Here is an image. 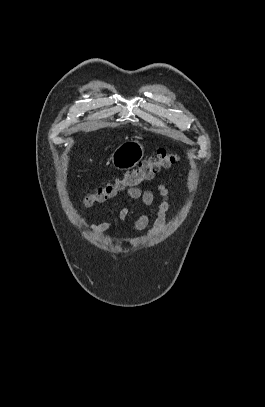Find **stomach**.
Masks as SVG:
<instances>
[{
  "label": "stomach",
  "mask_w": 265,
  "mask_h": 407,
  "mask_svg": "<svg viewBox=\"0 0 265 407\" xmlns=\"http://www.w3.org/2000/svg\"><path fill=\"white\" fill-rule=\"evenodd\" d=\"M144 156V148L138 141H128L121 144L111 156L112 165L120 170L135 167Z\"/></svg>",
  "instance_id": "stomach-1"
}]
</instances>
